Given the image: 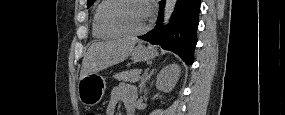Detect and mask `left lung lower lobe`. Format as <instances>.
<instances>
[{"label":"left lung lower lobe","instance_id":"left-lung-lower-lobe-1","mask_svg":"<svg viewBox=\"0 0 285 115\" xmlns=\"http://www.w3.org/2000/svg\"><path fill=\"white\" fill-rule=\"evenodd\" d=\"M165 0L160 1L157 25L148 33L138 37L158 44L165 50L179 55L186 64H192L197 43L200 0H178L169 24L162 25V8Z\"/></svg>","mask_w":285,"mask_h":115}]
</instances>
